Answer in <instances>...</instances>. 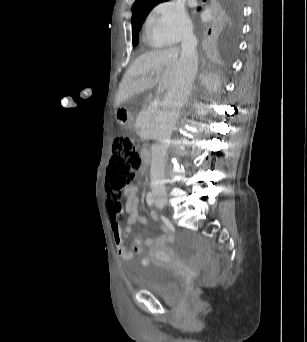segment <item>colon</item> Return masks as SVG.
<instances>
[{
  "label": "colon",
  "instance_id": "5ec220e1",
  "mask_svg": "<svg viewBox=\"0 0 307 342\" xmlns=\"http://www.w3.org/2000/svg\"><path fill=\"white\" fill-rule=\"evenodd\" d=\"M112 158L106 174V191L111 199V207H116L122 200L124 188L132 181L141 165L134 141L128 136H120L116 139ZM137 250L140 245L138 240L133 242ZM140 253L138 250L135 252Z\"/></svg>",
  "mask_w": 307,
  "mask_h": 342
}]
</instances>
